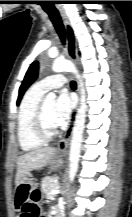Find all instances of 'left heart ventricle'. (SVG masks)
Here are the masks:
<instances>
[{
  "label": "left heart ventricle",
  "instance_id": "b2bd125f",
  "mask_svg": "<svg viewBox=\"0 0 132 217\" xmlns=\"http://www.w3.org/2000/svg\"><path fill=\"white\" fill-rule=\"evenodd\" d=\"M55 101L48 99L45 100V105H44V115H45V121L48 127L53 128L55 127L53 123V109H54Z\"/></svg>",
  "mask_w": 132,
  "mask_h": 217
}]
</instances>
